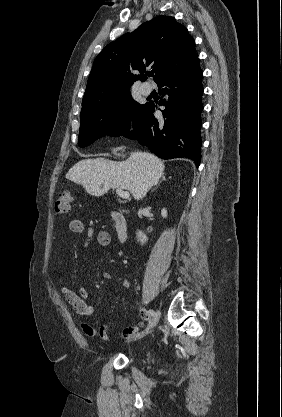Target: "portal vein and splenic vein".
Listing matches in <instances>:
<instances>
[{
  "mask_svg": "<svg viewBox=\"0 0 282 417\" xmlns=\"http://www.w3.org/2000/svg\"><path fill=\"white\" fill-rule=\"evenodd\" d=\"M116 192L121 198H129L130 196L129 192H127V190H122V188H116Z\"/></svg>",
  "mask_w": 282,
  "mask_h": 417,
  "instance_id": "1",
  "label": "portal vein and splenic vein"
}]
</instances>
